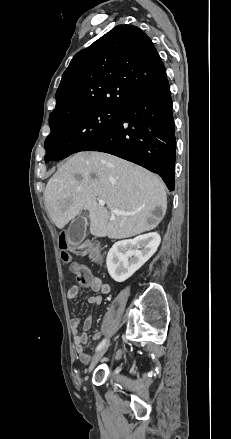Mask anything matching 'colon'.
Here are the masks:
<instances>
[{
	"instance_id": "5ec220e1",
	"label": "colon",
	"mask_w": 231,
	"mask_h": 439,
	"mask_svg": "<svg viewBox=\"0 0 231 439\" xmlns=\"http://www.w3.org/2000/svg\"><path fill=\"white\" fill-rule=\"evenodd\" d=\"M58 243L61 250L62 260L70 265V270L76 275L78 282L81 285L86 286L90 282L92 274L86 266L73 261L72 256L69 253V243L65 233L59 234ZM74 246L78 248L79 252L88 255L96 262H99L102 258V252L97 248L96 241H91L90 243L76 241Z\"/></svg>"
}]
</instances>
